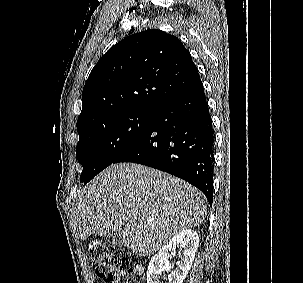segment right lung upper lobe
Returning <instances> with one entry per match:
<instances>
[{
  "instance_id": "obj_1",
  "label": "right lung upper lobe",
  "mask_w": 303,
  "mask_h": 283,
  "mask_svg": "<svg viewBox=\"0 0 303 283\" xmlns=\"http://www.w3.org/2000/svg\"><path fill=\"white\" fill-rule=\"evenodd\" d=\"M189 51L158 29L133 34L108 50L82 92L77 130L120 113L155 111L200 82Z\"/></svg>"
}]
</instances>
